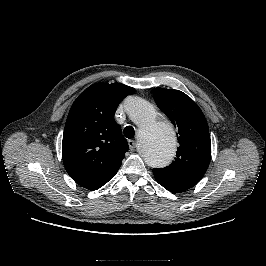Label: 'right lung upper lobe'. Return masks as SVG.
<instances>
[{"mask_svg":"<svg viewBox=\"0 0 266 266\" xmlns=\"http://www.w3.org/2000/svg\"><path fill=\"white\" fill-rule=\"evenodd\" d=\"M133 91L120 83H96L74 101L65 124L62 158L80 186L97 190L119 170L129 147L113 116L121 100Z\"/></svg>","mask_w":266,"mask_h":266,"instance_id":"obj_1","label":"right lung upper lobe"}]
</instances>
